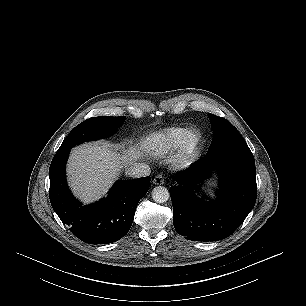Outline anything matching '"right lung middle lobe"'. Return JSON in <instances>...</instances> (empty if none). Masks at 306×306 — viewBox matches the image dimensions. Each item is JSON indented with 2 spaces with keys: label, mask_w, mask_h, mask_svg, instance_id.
Segmentation results:
<instances>
[{
  "label": "right lung middle lobe",
  "mask_w": 306,
  "mask_h": 306,
  "mask_svg": "<svg viewBox=\"0 0 306 306\" xmlns=\"http://www.w3.org/2000/svg\"><path fill=\"white\" fill-rule=\"evenodd\" d=\"M125 118V116H99L83 121L64 139L56 155L70 150L72 147L82 142L109 137L117 128L123 125Z\"/></svg>",
  "instance_id": "right-lung-middle-lobe-1"
}]
</instances>
